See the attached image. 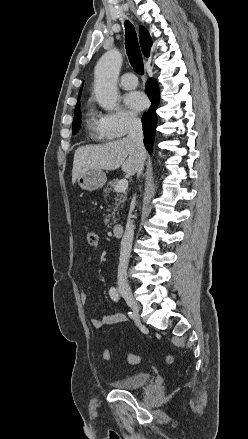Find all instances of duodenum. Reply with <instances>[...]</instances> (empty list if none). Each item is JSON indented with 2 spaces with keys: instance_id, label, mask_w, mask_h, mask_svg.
I'll return each mask as SVG.
<instances>
[{
  "instance_id": "obj_1",
  "label": "duodenum",
  "mask_w": 248,
  "mask_h": 439,
  "mask_svg": "<svg viewBox=\"0 0 248 439\" xmlns=\"http://www.w3.org/2000/svg\"><path fill=\"white\" fill-rule=\"evenodd\" d=\"M112 232L115 236H121L124 232V224L116 223L113 225Z\"/></svg>"
}]
</instances>
